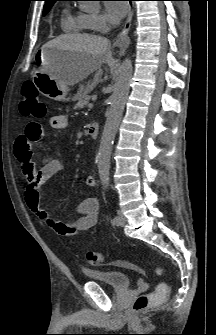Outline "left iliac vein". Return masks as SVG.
Masks as SVG:
<instances>
[{
    "label": "left iliac vein",
    "mask_w": 216,
    "mask_h": 335,
    "mask_svg": "<svg viewBox=\"0 0 216 335\" xmlns=\"http://www.w3.org/2000/svg\"><path fill=\"white\" fill-rule=\"evenodd\" d=\"M118 217H119V221L115 224L117 226H124L125 223H126V217L124 216V214L121 211L118 212Z\"/></svg>",
    "instance_id": "4c4485c4"
}]
</instances>
